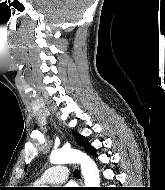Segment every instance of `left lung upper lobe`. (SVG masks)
<instances>
[{
  "label": "left lung upper lobe",
  "mask_w": 165,
  "mask_h": 190,
  "mask_svg": "<svg viewBox=\"0 0 165 190\" xmlns=\"http://www.w3.org/2000/svg\"><path fill=\"white\" fill-rule=\"evenodd\" d=\"M73 135L81 146L88 150L92 155H95V149L85 140L83 136L77 134V132H73Z\"/></svg>",
  "instance_id": "5c2ea615"
}]
</instances>
